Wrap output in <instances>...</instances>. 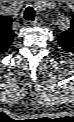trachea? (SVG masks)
I'll use <instances>...</instances> for the list:
<instances>
[{
	"instance_id": "obj_1",
	"label": "trachea",
	"mask_w": 74,
	"mask_h": 122,
	"mask_svg": "<svg viewBox=\"0 0 74 122\" xmlns=\"http://www.w3.org/2000/svg\"><path fill=\"white\" fill-rule=\"evenodd\" d=\"M35 18V10L33 7L28 6L24 11V19L26 21H34Z\"/></svg>"
}]
</instances>
